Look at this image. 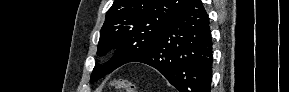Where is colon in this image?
Masks as SVG:
<instances>
[{"label": "colon", "mask_w": 289, "mask_h": 92, "mask_svg": "<svg viewBox=\"0 0 289 92\" xmlns=\"http://www.w3.org/2000/svg\"><path fill=\"white\" fill-rule=\"evenodd\" d=\"M114 88L118 91L136 92L135 84L132 81L126 79L116 81Z\"/></svg>", "instance_id": "colon-1"}]
</instances>
